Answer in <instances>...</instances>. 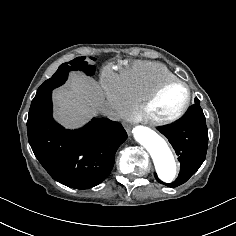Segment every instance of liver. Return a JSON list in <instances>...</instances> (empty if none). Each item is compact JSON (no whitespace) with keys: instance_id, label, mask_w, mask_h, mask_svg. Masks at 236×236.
Listing matches in <instances>:
<instances>
[{"instance_id":"liver-1","label":"liver","mask_w":236,"mask_h":236,"mask_svg":"<svg viewBox=\"0 0 236 236\" xmlns=\"http://www.w3.org/2000/svg\"><path fill=\"white\" fill-rule=\"evenodd\" d=\"M54 118L66 128L82 126L105 104L100 85L81 73H70L67 83L53 91Z\"/></svg>"}]
</instances>
